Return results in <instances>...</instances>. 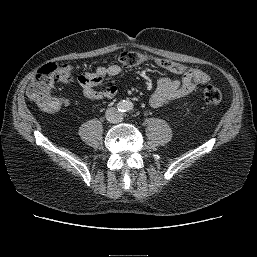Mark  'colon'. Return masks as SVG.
Returning <instances> with one entry per match:
<instances>
[{"instance_id": "colon-1", "label": "colon", "mask_w": 257, "mask_h": 257, "mask_svg": "<svg viewBox=\"0 0 257 257\" xmlns=\"http://www.w3.org/2000/svg\"><path fill=\"white\" fill-rule=\"evenodd\" d=\"M151 59L145 54L136 51H125L118 57V64L121 68H130ZM161 68L175 74H189L201 84L209 81L207 73L200 69L190 68L183 64L164 59L152 58ZM75 80V66L71 62L60 65L49 63L41 67L34 75L31 84L27 88V96L40 108L47 112H56L61 109L66 100L61 97L53 96L51 89L55 83L69 84ZM202 97L208 105H218L222 100L221 91L213 86L206 85L202 91Z\"/></svg>"}]
</instances>
